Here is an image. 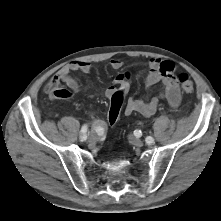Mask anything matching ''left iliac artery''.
Masks as SVG:
<instances>
[{
  "instance_id": "44dca946",
  "label": "left iliac artery",
  "mask_w": 221,
  "mask_h": 221,
  "mask_svg": "<svg viewBox=\"0 0 221 221\" xmlns=\"http://www.w3.org/2000/svg\"><path fill=\"white\" fill-rule=\"evenodd\" d=\"M145 141L147 144H151L153 142V138L151 136H148V137H146Z\"/></svg>"
}]
</instances>
